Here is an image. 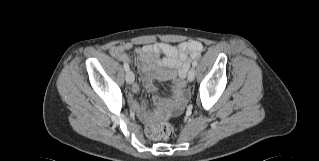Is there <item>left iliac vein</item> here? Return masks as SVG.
I'll return each instance as SVG.
<instances>
[{
    "instance_id": "1",
    "label": "left iliac vein",
    "mask_w": 319,
    "mask_h": 161,
    "mask_svg": "<svg viewBox=\"0 0 319 161\" xmlns=\"http://www.w3.org/2000/svg\"><path fill=\"white\" fill-rule=\"evenodd\" d=\"M187 78L190 82H192L195 79V68L194 67L190 68Z\"/></svg>"
}]
</instances>
